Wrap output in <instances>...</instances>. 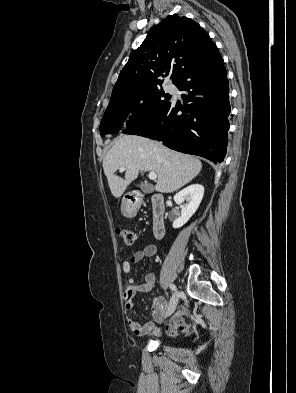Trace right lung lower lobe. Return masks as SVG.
<instances>
[{"label": "right lung lower lobe", "instance_id": "right-lung-lower-lobe-1", "mask_svg": "<svg viewBox=\"0 0 296 393\" xmlns=\"http://www.w3.org/2000/svg\"><path fill=\"white\" fill-rule=\"evenodd\" d=\"M175 85L186 92L182 95L183 106L170 100L154 117L126 128L123 133L162 141L176 151L222 162L231 108L227 72L216 45L189 67Z\"/></svg>", "mask_w": 296, "mask_h": 393}]
</instances>
